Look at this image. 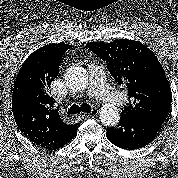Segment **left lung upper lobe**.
<instances>
[{
	"instance_id": "left-lung-upper-lobe-1",
	"label": "left lung upper lobe",
	"mask_w": 178,
	"mask_h": 178,
	"mask_svg": "<svg viewBox=\"0 0 178 178\" xmlns=\"http://www.w3.org/2000/svg\"><path fill=\"white\" fill-rule=\"evenodd\" d=\"M86 46L106 62L115 81L126 87L131 102L121 115L166 119L172 101L171 88L163 67L150 49L127 39L89 42Z\"/></svg>"
}]
</instances>
